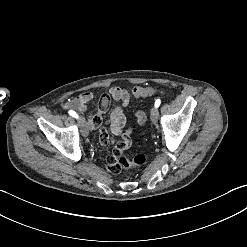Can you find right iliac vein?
I'll use <instances>...</instances> for the list:
<instances>
[{"label":"right iliac vein","mask_w":247,"mask_h":247,"mask_svg":"<svg viewBox=\"0 0 247 247\" xmlns=\"http://www.w3.org/2000/svg\"><path fill=\"white\" fill-rule=\"evenodd\" d=\"M80 128H81V134L83 137H87L89 134V127L84 118L80 119Z\"/></svg>","instance_id":"63e3f726"}]
</instances>
